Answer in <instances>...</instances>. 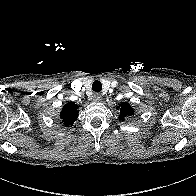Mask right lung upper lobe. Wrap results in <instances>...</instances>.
<instances>
[{
  "label": "right lung upper lobe",
  "mask_w": 196,
  "mask_h": 196,
  "mask_svg": "<svg viewBox=\"0 0 196 196\" xmlns=\"http://www.w3.org/2000/svg\"><path fill=\"white\" fill-rule=\"evenodd\" d=\"M78 106L73 102H68L62 108L60 113V118L62 119V123L65 126H69L74 123V121L78 118Z\"/></svg>",
  "instance_id": "cb5924a9"
}]
</instances>
